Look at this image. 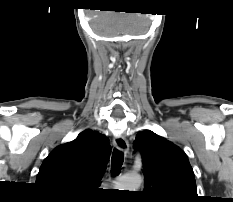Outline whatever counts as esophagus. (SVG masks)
I'll use <instances>...</instances> for the list:
<instances>
[{"label":"esophagus","instance_id":"1","mask_svg":"<svg viewBox=\"0 0 233 202\" xmlns=\"http://www.w3.org/2000/svg\"><path fill=\"white\" fill-rule=\"evenodd\" d=\"M114 144L120 151L128 152L129 144L123 136H116L114 138Z\"/></svg>","mask_w":233,"mask_h":202}]
</instances>
